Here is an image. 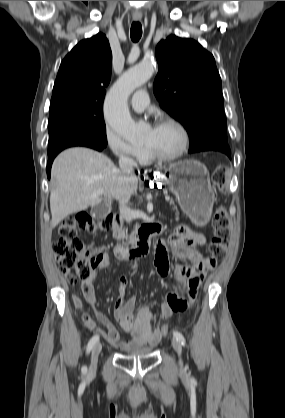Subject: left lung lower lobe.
Listing matches in <instances>:
<instances>
[{
  "instance_id": "1",
  "label": "left lung lower lobe",
  "mask_w": 285,
  "mask_h": 418,
  "mask_svg": "<svg viewBox=\"0 0 285 418\" xmlns=\"http://www.w3.org/2000/svg\"><path fill=\"white\" fill-rule=\"evenodd\" d=\"M206 151V150H205ZM217 151H219V150H217ZM222 152V151H221ZM223 153H225L228 157H230V155H231V152H223Z\"/></svg>"
}]
</instances>
